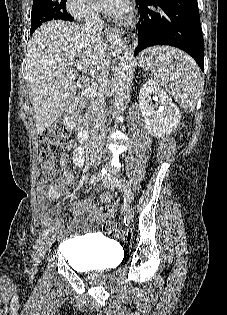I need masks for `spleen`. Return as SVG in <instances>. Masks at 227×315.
I'll list each match as a JSON object with an SVG mask.
<instances>
[{"label":"spleen","instance_id":"1","mask_svg":"<svg viewBox=\"0 0 227 315\" xmlns=\"http://www.w3.org/2000/svg\"><path fill=\"white\" fill-rule=\"evenodd\" d=\"M139 65L149 72L186 110L192 111L199 98L203 78L191 57L172 47L143 51Z\"/></svg>","mask_w":227,"mask_h":315}]
</instances>
